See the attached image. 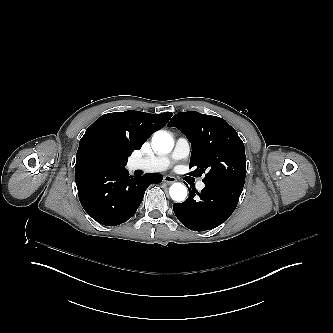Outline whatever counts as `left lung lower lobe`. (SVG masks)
<instances>
[{"label":"left lung lower lobe","mask_w":333,"mask_h":333,"mask_svg":"<svg viewBox=\"0 0 333 333\" xmlns=\"http://www.w3.org/2000/svg\"><path fill=\"white\" fill-rule=\"evenodd\" d=\"M191 188L188 187L187 200L173 204V210L178 220L194 231L213 229L226 221L234 212L243 190L236 184L209 183L205 184L197 198L195 188Z\"/></svg>","instance_id":"left-lung-lower-lobe-1"}]
</instances>
